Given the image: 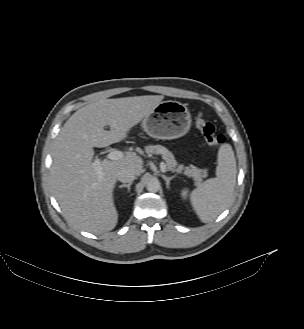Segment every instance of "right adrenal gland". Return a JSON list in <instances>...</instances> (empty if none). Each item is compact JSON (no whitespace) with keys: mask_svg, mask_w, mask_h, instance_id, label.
<instances>
[{"mask_svg":"<svg viewBox=\"0 0 304 329\" xmlns=\"http://www.w3.org/2000/svg\"><path fill=\"white\" fill-rule=\"evenodd\" d=\"M131 184H132V182H130L128 184H122V185H119V188H127L128 192H130Z\"/></svg>","mask_w":304,"mask_h":329,"instance_id":"right-adrenal-gland-1","label":"right adrenal gland"}]
</instances>
